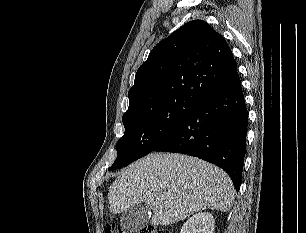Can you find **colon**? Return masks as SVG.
Listing matches in <instances>:
<instances>
[{
  "instance_id": "5ec220e1",
  "label": "colon",
  "mask_w": 306,
  "mask_h": 233,
  "mask_svg": "<svg viewBox=\"0 0 306 233\" xmlns=\"http://www.w3.org/2000/svg\"><path fill=\"white\" fill-rule=\"evenodd\" d=\"M105 233H172V231L161 226H149L148 228L139 231H133V230H128L124 227L107 225L105 227Z\"/></svg>"
}]
</instances>
